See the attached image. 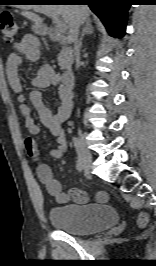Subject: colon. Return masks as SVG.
I'll return each mask as SVG.
<instances>
[{"mask_svg":"<svg viewBox=\"0 0 156 266\" xmlns=\"http://www.w3.org/2000/svg\"><path fill=\"white\" fill-rule=\"evenodd\" d=\"M0 32L3 40L7 43H11L17 35V23L9 12H4L0 16ZM146 222L147 217L145 215H141L138 219L139 225L143 226Z\"/></svg>","mask_w":156,"mask_h":266,"instance_id":"colon-1","label":"colon"}]
</instances>
